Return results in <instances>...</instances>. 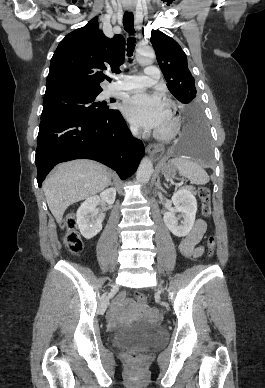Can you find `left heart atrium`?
I'll return each instance as SVG.
<instances>
[{
    "mask_svg": "<svg viewBox=\"0 0 265 388\" xmlns=\"http://www.w3.org/2000/svg\"><path fill=\"white\" fill-rule=\"evenodd\" d=\"M123 113L131 122L146 127H158L168 118L165 101L147 92L130 96L123 104Z\"/></svg>",
    "mask_w": 265,
    "mask_h": 388,
    "instance_id": "1",
    "label": "left heart atrium"
}]
</instances>
